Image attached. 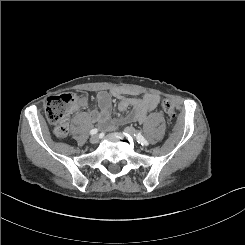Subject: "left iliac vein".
Here are the masks:
<instances>
[{
  "label": "left iliac vein",
  "mask_w": 245,
  "mask_h": 245,
  "mask_svg": "<svg viewBox=\"0 0 245 245\" xmlns=\"http://www.w3.org/2000/svg\"><path fill=\"white\" fill-rule=\"evenodd\" d=\"M124 131H125L127 134L131 135L132 137H135V135H136V132H135L134 128H132V127H126V128L124 129Z\"/></svg>",
  "instance_id": "left-iliac-vein-1"
}]
</instances>
